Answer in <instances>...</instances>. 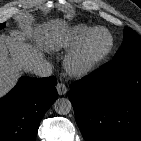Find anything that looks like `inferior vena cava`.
<instances>
[{"label": "inferior vena cava", "instance_id": "inferior-vena-cava-1", "mask_svg": "<svg viewBox=\"0 0 141 141\" xmlns=\"http://www.w3.org/2000/svg\"><path fill=\"white\" fill-rule=\"evenodd\" d=\"M33 73L39 77H49L52 74V65L48 61H40L34 66Z\"/></svg>", "mask_w": 141, "mask_h": 141}]
</instances>
